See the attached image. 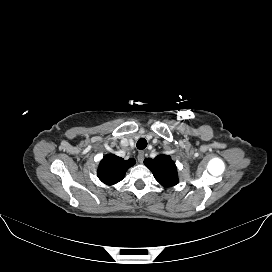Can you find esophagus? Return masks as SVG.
Listing matches in <instances>:
<instances>
[{
    "instance_id": "esophagus-1",
    "label": "esophagus",
    "mask_w": 272,
    "mask_h": 272,
    "mask_svg": "<svg viewBox=\"0 0 272 272\" xmlns=\"http://www.w3.org/2000/svg\"><path fill=\"white\" fill-rule=\"evenodd\" d=\"M144 156H145V154H144L143 151H140V152L138 153L137 159H138V162H139V163H143V161H144Z\"/></svg>"
}]
</instances>
